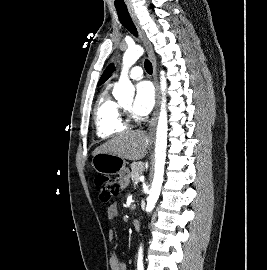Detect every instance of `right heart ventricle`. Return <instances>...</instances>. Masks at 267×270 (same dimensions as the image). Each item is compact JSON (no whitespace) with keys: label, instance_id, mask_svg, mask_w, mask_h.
Segmentation results:
<instances>
[{"label":"right heart ventricle","instance_id":"1","mask_svg":"<svg viewBox=\"0 0 267 270\" xmlns=\"http://www.w3.org/2000/svg\"><path fill=\"white\" fill-rule=\"evenodd\" d=\"M96 134L107 139L123 133L128 125L125 123L120 104L110 95L109 86L98 96L94 111Z\"/></svg>","mask_w":267,"mask_h":270}]
</instances>
